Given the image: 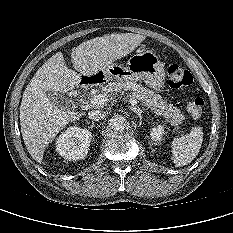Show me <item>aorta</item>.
Listing matches in <instances>:
<instances>
[{
	"mask_svg": "<svg viewBox=\"0 0 233 233\" xmlns=\"http://www.w3.org/2000/svg\"><path fill=\"white\" fill-rule=\"evenodd\" d=\"M110 126L114 130H123L126 127V119L122 115H115L110 119Z\"/></svg>",
	"mask_w": 233,
	"mask_h": 233,
	"instance_id": "aorta-1",
	"label": "aorta"
}]
</instances>
